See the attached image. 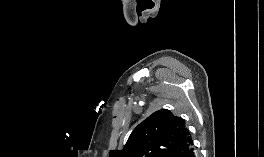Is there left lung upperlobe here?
I'll list each match as a JSON object with an SVG mask.
<instances>
[{
  "label": "left lung upper lobe",
  "instance_id": "obj_1",
  "mask_svg": "<svg viewBox=\"0 0 264 157\" xmlns=\"http://www.w3.org/2000/svg\"><path fill=\"white\" fill-rule=\"evenodd\" d=\"M192 149L185 121L162 109L140 123L124 148L111 150L109 157H188Z\"/></svg>",
  "mask_w": 264,
  "mask_h": 157
}]
</instances>
